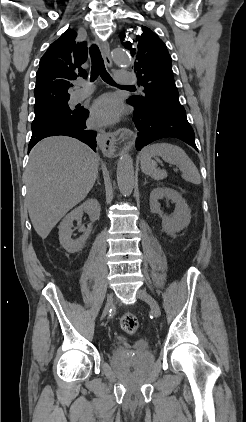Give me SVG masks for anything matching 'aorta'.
Here are the masks:
<instances>
[{"label":"aorta","mask_w":246,"mask_h":422,"mask_svg":"<svg viewBox=\"0 0 246 422\" xmlns=\"http://www.w3.org/2000/svg\"><path fill=\"white\" fill-rule=\"evenodd\" d=\"M112 58L122 67H128L132 63L130 55L122 49L114 50ZM117 184L121 193L131 194L134 186V166L133 159L127 152H124L118 161Z\"/></svg>","instance_id":"obj_1"}]
</instances>
